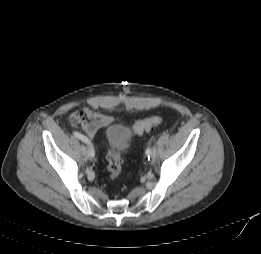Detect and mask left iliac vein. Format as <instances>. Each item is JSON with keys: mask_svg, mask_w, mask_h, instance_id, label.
<instances>
[{"mask_svg": "<svg viewBox=\"0 0 261 254\" xmlns=\"http://www.w3.org/2000/svg\"><path fill=\"white\" fill-rule=\"evenodd\" d=\"M151 158H152V159H155V158H156V151H155V150L152 152Z\"/></svg>", "mask_w": 261, "mask_h": 254, "instance_id": "4c4485c4", "label": "left iliac vein"}]
</instances>
